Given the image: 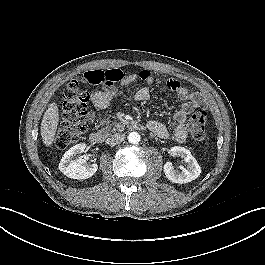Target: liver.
<instances>
[{
	"mask_svg": "<svg viewBox=\"0 0 265 265\" xmlns=\"http://www.w3.org/2000/svg\"><path fill=\"white\" fill-rule=\"evenodd\" d=\"M59 122L58 107L56 103H51L44 113L41 122V137L46 146H50L55 138L56 130Z\"/></svg>",
	"mask_w": 265,
	"mask_h": 265,
	"instance_id": "liver-1",
	"label": "liver"
}]
</instances>
